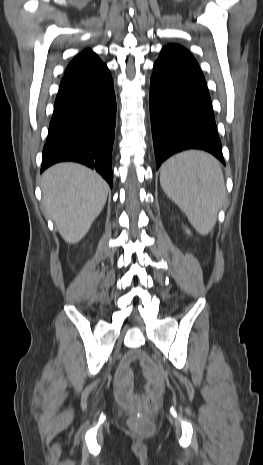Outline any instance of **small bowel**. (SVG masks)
<instances>
[{
    "mask_svg": "<svg viewBox=\"0 0 263 465\" xmlns=\"http://www.w3.org/2000/svg\"><path fill=\"white\" fill-rule=\"evenodd\" d=\"M136 359V354H128L121 362L115 377V393L120 402L129 404L139 396L133 393L132 378L133 373L130 369V363ZM149 383L156 382L160 384V379L155 372L148 373Z\"/></svg>",
    "mask_w": 263,
    "mask_h": 465,
    "instance_id": "1",
    "label": "small bowel"
}]
</instances>
